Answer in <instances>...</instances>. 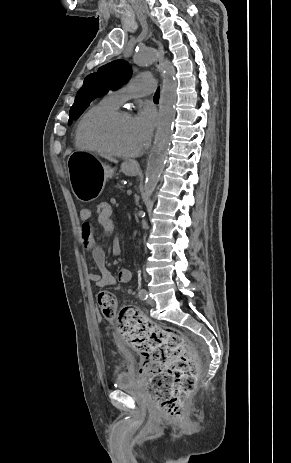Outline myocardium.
Listing matches in <instances>:
<instances>
[{
    "label": "myocardium",
    "mask_w": 291,
    "mask_h": 463,
    "mask_svg": "<svg viewBox=\"0 0 291 463\" xmlns=\"http://www.w3.org/2000/svg\"><path fill=\"white\" fill-rule=\"evenodd\" d=\"M129 116L124 110L115 109L109 113L98 116L91 120L86 128L87 140L98 150L105 153L118 156L121 158H135L141 154L143 147L141 146L134 152H123L113 146L105 135V130L117 119Z\"/></svg>",
    "instance_id": "f54148a6"
}]
</instances>
